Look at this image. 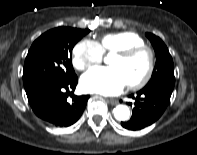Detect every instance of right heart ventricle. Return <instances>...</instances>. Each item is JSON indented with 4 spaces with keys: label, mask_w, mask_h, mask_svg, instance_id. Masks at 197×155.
<instances>
[{
    "label": "right heart ventricle",
    "mask_w": 197,
    "mask_h": 155,
    "mask_svg": "<svg viewBox=\"0 0 197 155\" xmlns=\"http://www.w3.org/2000/svg\"><path fill=\"white\" fill-rule=\"evenodd\" d=\"M98 43L103 53H113L124 48L145 45L144 39L133 31L105 34Z\"/></svg>",
    "instance_id": "1"
}]
</instances>
